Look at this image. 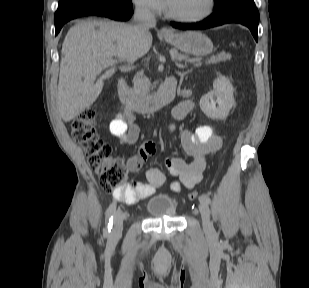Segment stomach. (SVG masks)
Masks as SVG:
<instances>
[{
	"label": "stomach",
	"mask_w": 309,
	"mask_h": 288,
	"mask_svg": "<svg viewBox=\"0 0 309 288\" xmlns=\"http://www.w3.org/2000/svg\"><path fill=\"white\" fill-rule=\"evenodd\" d=\"M164 39L182 52L191 55H207L213 50L211 40L199 31L172 33L171 35H164Z\"/></svg>",
	"instance_id": "obj_1"
}]
</instances>
